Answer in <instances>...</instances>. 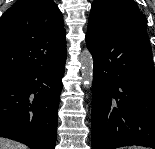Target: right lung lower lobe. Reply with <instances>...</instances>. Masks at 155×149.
I'll list each match as a JSON object with an SVG mask.
<instances>
[{"instance_id": "obj_1", "label": "right lung lower lobe", "mask_w": 155, "mask_h": 149, "mask_svg": "<svg viewBox=\"0 0 155 149\" xmlns=\"http://www.w3.org/2000/svg\"><path fill=\"white\" fill-rule=\"evenodd\" d=\"M66 54L0 87V136L31 149H55Z\"/></svg>"}]
</instances>
